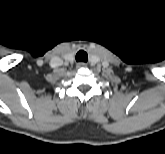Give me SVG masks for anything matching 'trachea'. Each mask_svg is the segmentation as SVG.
Returning <instances> with one entry per match:
<instances>
[{
	"label": "trachea",
	"instance_id": "3493384b",
	"mask_svg": "<svg viewBox=\"0 0 165 154\" xmlns=\"http://www.w3.org/2000/svg\"><path fill=\"white\" fill-rule=\"evenodd\" d=\"M76 60L77 61H82V62H87L88 60V55L85 51L80 50L77 54H76Z\"/></svg>",
	"mask_w": 165,
	"mask_h": 154
}]
</instances>
